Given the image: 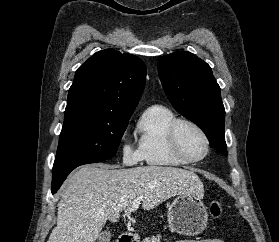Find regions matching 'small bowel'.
Returning a JSON list of instances; mask_svg holds the SVG:
<instances>
[{
	"label": "small bowel",
	"instance_id": "1",
	"mask_svg": "<svg viewBox=\"0 0 279 242\" xmlns=\"http://www.w3.org/2000/svg\"><path fill=\"white\" fill-rule=\"evenodd\" d=\"M176 242H225L222 239H203V240H182V241H176Z\"/></svg>",
	"mask_w": 279,
	"mask_h": 242
}]
</instances>
